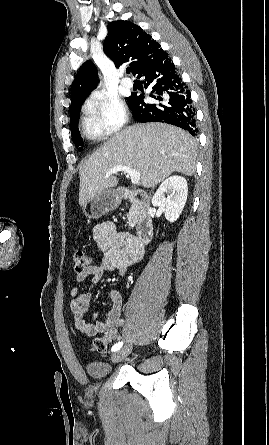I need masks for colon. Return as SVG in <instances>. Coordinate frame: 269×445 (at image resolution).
<instances>
[{"label": "colon", "mask_w": 269, "mask_h": 445, "mask_svg": "<svg viewBox=\"0 0 269 445\" xmlns=\"http://www.w3.org/2000/svg\"><path fill=\"white\" fill-rule=\"evenodd\" d=\"M74 269L76 273H82L86 268L92 265V258L83 250H76L73 254ZM110 336L96 338L92 344V351L104 353L107 348Z\"/></svg>", "instance_id": "colon-1"}]
</instances>
